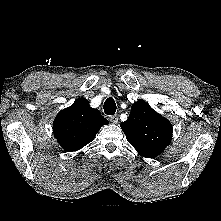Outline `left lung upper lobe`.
<instances>
[{
	"label": "left lung upper lobe",
	"mask_w": 221,
	"mask_h": 221,
	"mask_svg": "<svg viewBox=\"0 0 221 221\" xmlns=\"http://www.w3.org/2000/svg\"><path fill=\"white\" fill-rule=\"evenodd\" d=\"M120 126L128 142L146 158L161 154L172 139L170 122L143 100L132 105L127 121Z\"/></svg>",
	"instance_id": "1"
}]
</instances>
